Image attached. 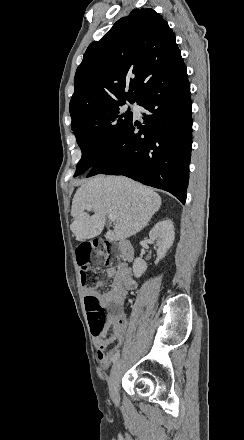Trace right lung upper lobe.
Segmentation results:
<instances>
[{
  "label": "right lung upper lobe",
  "mask_w": 244,
  "mask_h": 440,
  "mask_svg": "<svg viewBox=\"0 0 244 440\" xmlns=\"http://www.w3.org/2000/svg\"><path fill=\"white\" fill-rule=\"evenodd\" d=\"M175 34L151 8L133 10L87 48L69 110L105 99L136 98L162 69L183 64Z\"/></svg>",
  "instance_id": "right-lung-upper-lobe-1"
}]
</instances>
